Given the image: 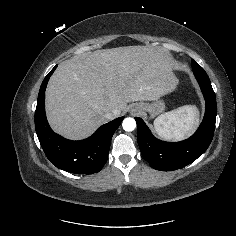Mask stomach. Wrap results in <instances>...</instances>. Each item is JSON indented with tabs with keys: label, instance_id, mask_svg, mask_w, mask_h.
<instances>
[{
	"label": "stomach",
	"instance_id": "0dacf381",
	"mask_svg": "<svg viewBox=\"0 0 236 236\" xmlns=\"http://www.w3.org/2000/svg\"><path fill=\"white\" fill-rule=\"evenodd\" d=\"M138 105L143 111L148 112L151 117H154L165 110V104L160 99H157L152 103H139Z\"/></svg>",
	"mask_w": 236,
	"mask_h": 236
}]
</instances>
